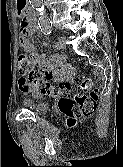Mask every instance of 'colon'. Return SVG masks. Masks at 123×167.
Returning <instances> with one entry per match:
<instances>
[{
    "instance_id": "1",
    "label": "colon",
    "mask_w": 123,
    "mask_h": 167,
    "mask_svg": "<svg viewBox=\"0 0 123 167\" xmlns=\"http://www.w3.org/2000/svg\"><path fill=\"white\" fill-rule=\"evenodd\" d=\"M57 59L60 61L59 56ZM18 66L20 72L28 71L29 83L42 94L58 98L59 109L68 118L69 123L72 124L94 112L98 95L91 78L77 79L73 87L67 82H54L50 74L32 68L31 58L24 54L19 56Z\"/></svg>"
}]
</instances>
